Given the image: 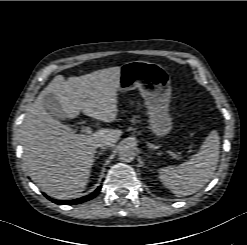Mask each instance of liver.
I'll return each mask as SVG.
<instances>
[{
  "mask_svg": "<svg viewBox=\"0 0 247 245\" xmlns=\"http://www.w3.org/2000/svg\"><path fill=\"white\" fill-rule=\"evenodd\" d=\"M119 79L120 67L68 79L57 75L25 114L20 130L23 164L47 195L61 200L77 197L89 182L99 143L108 141L113 147L122 131L101 128L92 135L75 134L47 113L43 105L45 95H55L68 119L76 118L82 111L111 123L118 115Z\"/></svg>",
  "mask_w": 247,
  "mask_h": 245,
  "instance_id": "1",
  "label": "liver"
}]
</instances>
